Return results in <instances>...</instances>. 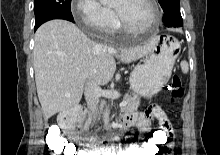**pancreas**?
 <instances>
[{"mask_svg": "<svg viewBox=\"0 0 220 155\" xmlns=\"http://www.w3.org/2000/svg\"><path fill=\"white\" fill-rule=\"evenodd\" d=\"M124 101L127 102V104L122 107L123 112H134L137 111L139 105H140V97L138 95H126L124 97ZM91 117L89 116L86 121L85 125L88 126L91 123Z\"/></svg>", "mask_w": 220, "mask_h": 155, "instance_id": "pancreas-1", "label": "pancreas"}]
</instances>
